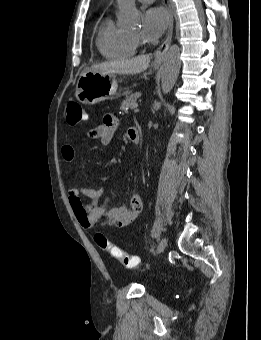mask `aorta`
I'll return each instance as SVG.
<instances>
[{
	"label": "aorta",
	"instance_id": "obj_1",
	"mask_svg": "<svg viewBox=\"0 0 261 340\" xmlns=\"http://www.w3.org/2000/svg\"><path fill=\"white\" fill-rule=\"evenodd\" d=\"M119 6L118 20L126 27H136L140 23L139 11L135 0H117ZM181 67L180 48L172 45L164 58L161 69V88L168 94L174 87Z\"/></svg>",
	"mask_w": 261,
	"mask_h": 340
}]
</instances>
